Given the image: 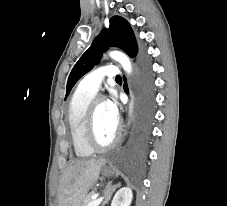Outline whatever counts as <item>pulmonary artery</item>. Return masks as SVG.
Returning <instances> with one entry per match:
<instances>
[{
  "instance_id": "pulmonary-artery-1",
  "label": "pulmonary artery",
  "mask_w": 227,
  "mask_h": 206,
  "mask_svg": "<svg viewBox=\"0 0 227 206\" xmlns=\"http://www.w3.org/2000/svg\"><path fill=\"white\" fill-rule=\"evenodd\" d=\"M119 76V69L114 65L100 67L87 74L79 83V88L96 93L105 78H116Z\"/></svg>"
}]
</instances>
